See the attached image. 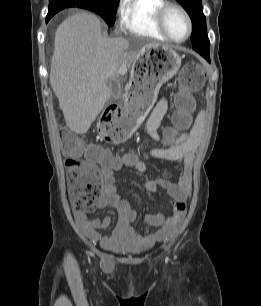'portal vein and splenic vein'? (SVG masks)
I'll return each mask as SVG.
<instances>
[{
  "label": "portal vein and splenic vein",
  "mask_w": 261,
  "mask_h": 306,
  "mask_svg": "<svg viewBox=\"0 0 261 306\" xmlns=\"http://www.w3.org/2000/svg\"><path fill=\"white\" fill-rule=\"evenodd\" d=\"M122 72H123L122 69H120V70H119V73L122 74Z\"/></svg>",
  "instance_id": "1"
}]
</instances>
